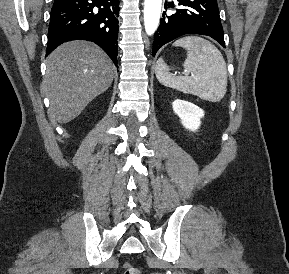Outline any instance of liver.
<instances>
[{
    "mask_svg": "<svg viewBox=\"0 0 289 274\" xmlns=\"http://www.w3.org/2000/svg\"><path fill=\"white\" fill-rule=\"evenodd\" d=\"M114 65L106 53L88 41H70L48 57L43 89L49 111L61 124L78 117L113 81Z\"/></svg>",
    "mask_w": 289,
    "mask_h": 274,
    "instance_id": "obj_1",
    "label": "liver"
}]
</instances>
